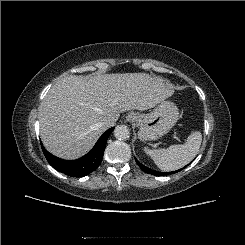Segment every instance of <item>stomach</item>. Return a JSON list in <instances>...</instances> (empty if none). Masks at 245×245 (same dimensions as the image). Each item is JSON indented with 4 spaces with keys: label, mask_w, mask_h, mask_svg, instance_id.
I'll use <instances>...</instances> for the list:
<instances>
[{
    "label": "stomach",
    "mask_w": 245,
    "mask_h": 245,
    "mask_svg": "<svg viewBox=\"0 0 245 245\" xmlns=\"http://www.w3.org/2000/svg\"><path fill=\"white\" fill-rule=\"evenodd\" d=\"M178 119L177 106L173 102L162 101L150 113L138 114V137L142 141L159 139L170 131Z\"/></svg>",
    "instance_id": "1"
}]
</instances>
